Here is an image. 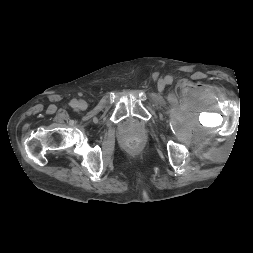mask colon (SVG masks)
<instances>
[{"label":"colon","instance_id":"1","mask_svg":"<svg viewBox=\"0 0 253 253\" xmlns=\"http://www.w3.org/2000/svg\"><path fill=\"white\" fill-rule=\"evenodd\" d=\"M139 139L136 138V137H132V138H129L127 141H126V144L127 146L131 149V150H135L138 148L139 146Z\"/></svg>","mask_w":253,"mask_h":253}]
</instances>
